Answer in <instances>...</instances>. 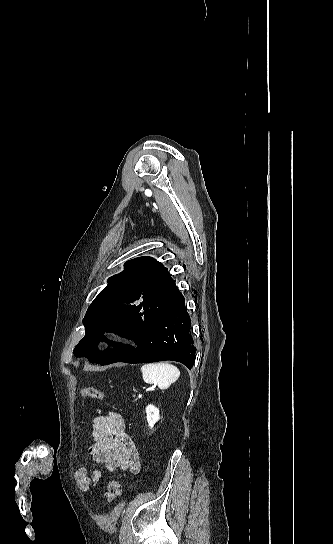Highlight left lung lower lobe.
I'll list each match as a JSON object with an SVG mask.
<instances>
[{"mask_svg": "<svg viewBox=\"0 0 333 544\" xmlns=\"http://www.w3.org/2000/svg\"><path fill=\"white\" fill-rule=\"evenodd\" d=\"M134 343L123 348L122 354L105 351L100 353L99 363H143L173 360L189 369L195 362L196 347L191 336V319L183 296L155 320L135 324L128 330ZM97 332L93 335L98 339Z\"/></svg>", "mask_w": 333, "mask_h": 544, "instance_id": "0a47b994", "label": "left lung lower lobe"}]
</instances>
